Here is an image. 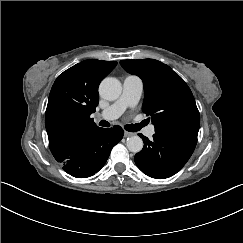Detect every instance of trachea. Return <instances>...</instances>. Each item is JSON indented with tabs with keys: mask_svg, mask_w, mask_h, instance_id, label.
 <instances>
[{
	"mask_svg": "<svg viewBox=\"0 0 243 243\" xmlns=\"http://www.w3.org/2000/svg\"><path fill=\"white\" fill-rule=\"evenodd\" d=\"M99 125L100 126H105V127H108V126H110V123L109 122H107V121H105V120H101L100 122H99ZM125 130H127V131H129V132H136V131H138V130H140L141 129V127L138 125V124H130V125H125Z\"/></svg>",
	"mask_w": 243,
	"mask_h": 243,
	"instance_id": "1",
	"label": "trachea"
}]
</instances>
